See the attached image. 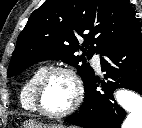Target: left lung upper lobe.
I'll return each mask as SVG.
<instances>
[{"instance_id": "obj_1", "label": "left lung upper lobe", "mask_w": 142, "mask_h": 128, "mask_svg": "<svg viewBox=\"0 0 142 128\" xmlns=\"http://www.w3.org/2000/svg\"><path fill=\"white\" fill-rule=\"evenodd\" d=\"M136 27L128 0H46L20 33L8 76L43 60H62L77 68L86 86L94 71L84 56L101 53ZM79 50L84 54L74 55Z\"/></svg>"}]
</instances>
